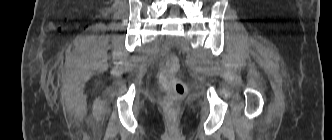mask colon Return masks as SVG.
I'll return each instance as SVG.
<instances>
[{
	"mask_svg": "<svg viewBox=\"0 0 332 140\" xmlns=\"http://www.w3.org/2000/svg\"><path fill=\"white\" fill-rule=\"evenodd\" d=\"M179 69V59L175 55H169L163 64L159 74V84L164 94L161 105L169 122L173 123L177 117L179 105L183 100L186 87L176 76Z\"/></svg>",
	"mask_w": 332,
	"mask_h": 140,
	"instance_id": "5ec220e1",
	"label": "colon"
}]
</instances>
